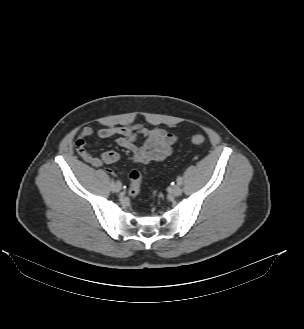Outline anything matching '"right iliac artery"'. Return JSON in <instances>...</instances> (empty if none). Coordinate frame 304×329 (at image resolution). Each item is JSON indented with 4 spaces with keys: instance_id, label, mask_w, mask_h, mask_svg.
<instances>
[{
    "instance_id": "82829eb1",
    "label": "right iliac artery",
    "mask_w": 304,
    "mask_h": 329,
    "mask_svg": "<svg viewBox=\"0 0 304 329\" xmlns=\"http://www.w3.org/2000/svg\"><path fill=\"white\" fill-rule=\"evenodd\" d=\"M110 186H111V190L114 192L115 191V181H114V179L111 180Z\"/></svg>"
}]
</instances>
